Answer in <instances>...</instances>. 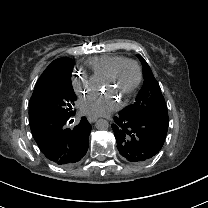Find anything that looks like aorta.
<instances>
[{
    "label": "aorta",
    "mask_w": 208,
    "mask_h": 208,
    "mask_svg": "<svg viewBox=\"0 0 208 208\" xmlns=\"http://www.w3.org/2000/svg\"><path fill=\"white\" fill-rule=\"evenodd\" d=\"M95 127L98 130H107L108 127H109V123L105 119H99V120L96 121Z\"/></svg>",
    "instance_id": "1"
}]
</instances>
